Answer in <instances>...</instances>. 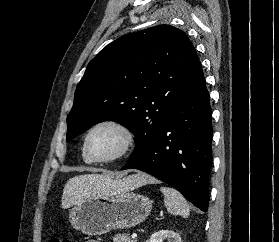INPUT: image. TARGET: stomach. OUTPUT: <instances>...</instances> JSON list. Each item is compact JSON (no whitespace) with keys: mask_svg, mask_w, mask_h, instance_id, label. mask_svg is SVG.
Returning a JSON list of instances; mask_svg holds the SVG:
<instances>
[{"mask_svg":"<svg viewBox=\"0 0 279 242\" xmlns=\"http://www.w3.org/2000/svg\"><path fill=\"white\" fill-rule=\"evenodd\" d=\"M152 201L128 189L83 199L69 211L72 227L87 235H102L115 229L131 228L146 219Z\"/></svg>","mask_w":279,"mask_h":242,"instance_id":"stomach-1","label":"stomach"}]
</instances>
